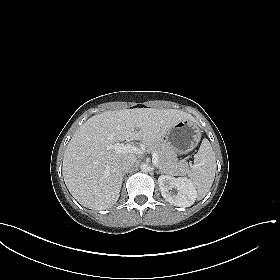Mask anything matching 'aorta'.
<instances>
[{
    "label": "aorta",
    "instance_id": "762f6f07",
    "mask_svg": "<svg viewBox=\"0 0 280 280\" xmlns=\"http://www.w3.org/2000/svg\"><path fill=\"white\" fill-rule=\"evenodd\" d=\"M142 172H148L150 170V166L148 164L141 165Z\"/></svg>",
    "mask_w": 280,
    "mask_h": 280
}]
</instances>
